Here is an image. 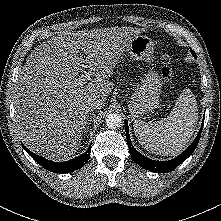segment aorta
<instances>
[{"label":"aorta","mask_w":221,"mask_h":221,"mask_svg":"<svg viewBox=\"0 0 221 221\" xmlns=\"http://www.w3.org/2000/svg\"><path fill=\"white\" fill-rule=\"evenodd\" d=\"M105 123L110 129H116L122 126V117L117 113H112L107 116Z\"/></svg>","instance_id":"762f6f07"}]
</instances>
